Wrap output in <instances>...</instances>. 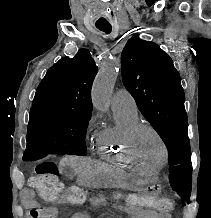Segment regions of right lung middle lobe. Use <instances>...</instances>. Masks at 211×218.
<instances>
[{"instance_id": "dd1d6c3e", "label": "right lung middle lobe", "mask_w": 211, "mask_h": 218, "mask_svg": "<svg viewBox=\"0 0 211 218\" xmlns=\"http://www.w3.org/2000/svg\"><path fill=\"white\" fill-rule=\"evenodd\" d=\"M91 112L67 108L32 107L27 140L47 146L75 145L86 155L85 134Z\"/></svg>"}]
</instances>
